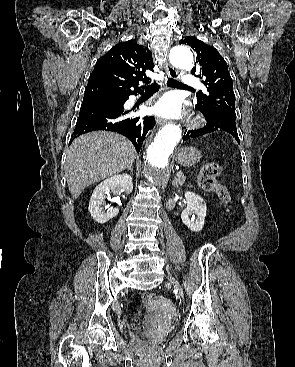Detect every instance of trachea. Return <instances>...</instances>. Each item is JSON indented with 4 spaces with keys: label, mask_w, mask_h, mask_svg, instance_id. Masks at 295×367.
Segmentation results:
<instances>
[{
    "label": "trachea",
    "mask_w": 295,
    "mask_h": 367,
    "mask_svg": "<svg viewBox=\"0 0 295 367\" xmlns=\"http://www.w3.org/2000/svg\"><path fill=\"white\" fill-rule=\"evenodd\" d=\"M167 85L172 86V87H184L188 89H193V88L187 87L183 83H180L177 80H174L172 78H168ZM159 87L160 85L154 82L153 84L146 87V91H154V90H157Z\"/></svg>",
    "instance_id": "1"
}]
</instances>
